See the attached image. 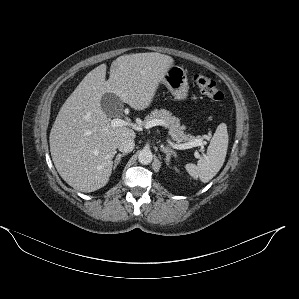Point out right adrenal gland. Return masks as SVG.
<instances>
[{
	"label": "right adrenal gland",
	"mask_w": 299,
	"mask_h": 299,
	"mask_svg": "<svg viewBox=\"0 0 299 299\" xmlns=\"http://www.w3.org/2000/svg\"><path fill=\"white\" fill-rule=\"evenodd\" d=\"M125 155H126V153H123V154L119 153V154L116 156V158H115V160H114V163H113V170L116 169V167L118 166V164H119L120 161H121V158L124 157Z\"/></svg>",
	"instance_id": "2a0ac1e0"
}]
</instances>
